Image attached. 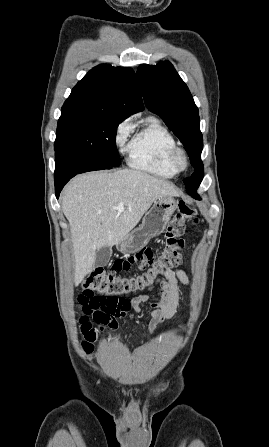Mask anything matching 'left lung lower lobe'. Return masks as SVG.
<instances>
[{
  "instance_id": "1",
  "label": "left lung lower lobe",
  "mask_w": 269,
  "mask_h": 447,
  "mask_svg": "<svg viewBox=\"0 0 269 447\" xmlns=\"http://www.w3.org/2000/svg\"><path fill=\"white\" fill-rule=\"evenodd\" d=\"M196 190H197V189H194V190L190 191L189 194H190L191 196H193V197H198V195H197V193H196Z\"/></svg>"
}]
</instances>
